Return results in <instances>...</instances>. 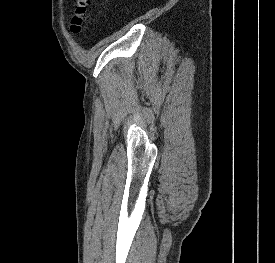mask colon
<instances>
[{
    "label": "colon",
    "instance_id": "5ec220e1",
    "mask_svg": "<svg viewBox=\"0 0 275 263\" xmlns=\"http://www.w3.org/2000/svg\"><path fill=\"white\" fill-rule=\"evenodd\" d=\"M91 21V0H75L70 18V31L80 35Z\"/></svg>",
    "mask_w": 275,
    "mask_h": 263
}]
</instances>
